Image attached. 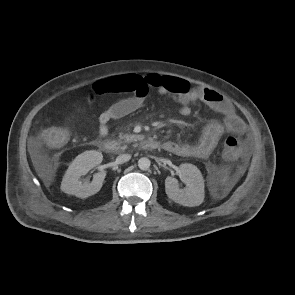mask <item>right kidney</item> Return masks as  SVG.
I'll return each instance as SVG.
<instances>
[{
    "label": "right kidney",
    "instance_id": "1",
    "mask_svg": "<svg viewBox=\"0 0 295 295\" xmlns=\"http://www.w3.org/2000/svg\"><path fill=\"white\" fill-rule=\"evenodd\" d=\"M103 160L102 153L91 150L78 155L67 169L62 183L61 190L67 194L79 198H87L99 192L106 176L105 171L95 173L91 183L80 180L89 170L100 164Z\"/></svg>",
    "mask_w": 295,
    "mask_h": 295
}]
</instances>
